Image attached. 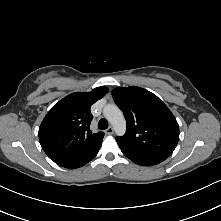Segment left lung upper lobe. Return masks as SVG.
Segmentation results:
<instances>
[{"mask_svg":"<svg viewBox=\"0 0 221 221\" xmlns=\"http://www.w3.org/2000/svg\"><path fill=\"white\" fill-rule=\"evenodd\" d=\"M111 93L127 121L126 134L116 138L118 145L169 157L179 140V126L163 101L136 86L118 87Z\"/></svg>","mask_w":221,"mask_h":221,"instance_id":"1","label":"left lung upper lobe"}]
</instances>
